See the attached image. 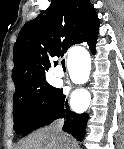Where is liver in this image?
I'll return each mask as SVG.
<instances>
[{"instance_id":"obj_1","label":"liver","mask_w":124,"mask_h":149,"mask_svg":"<svg viewBox=\"0 0 124 149\" xmlns=\"http://www.w3.org/2000/svg\"><path fill=\"white\" fill-rule=\"evenodd\" d=\"M67 139H70V146L73 147L75 141L68 135ZM65 139H61L54 131L52 127L42 128L22 142L21 149H62Z\"/></svg>"}]
</instances>
